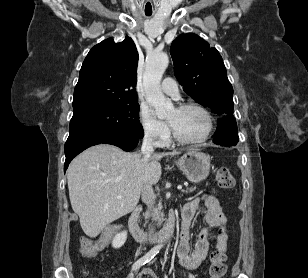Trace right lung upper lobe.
<instances>
[{
	"instance_id": "right-lung-upper-lobe-1",
	"label": "right lung upper lobe",
	"mask_w": 308,
	"mask_h": 278,
	"mask_svg": "<svg viewBox=\"0 0 308 278\" xmlns=\"http://www.w3.org/2000/svg\"><path fill=\"white\" fill-rule=\"evenodd\" d=\"M138 52L133 40L108 38L85 58L74 90L73 115L118 104L137 103Z\"/></svg>"
}]
</instances>
